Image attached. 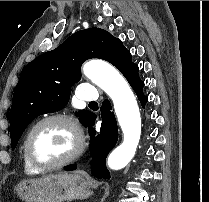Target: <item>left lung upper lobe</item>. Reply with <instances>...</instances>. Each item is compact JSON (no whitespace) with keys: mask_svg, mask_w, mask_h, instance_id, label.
<instances>
[{"mask_svg":"<svg viewBox=\"0 0 209 202\" xmlns=\"http://www.w3.org/2000/svg\"><path fill=\"white\" fill-rule=\"evenodd\" d=\"M90 58L108 61L123 75L136 65L121 40L100 28L78 31L38 56L23 68L14 90L9 114L12 149L34 118L66 106L71 87L81 78V65ZM75 114L85 127L95 116L88 110Z\"/></svg>","mask_w":209,"mask_h":202,"instance_id":"left-lung-upper-lobe-1","label":"left lung upper lobe"}]
</instances>
